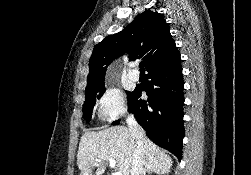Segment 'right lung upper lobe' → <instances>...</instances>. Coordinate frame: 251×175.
Instances as JSON below:
<instances>
[{
    "instance_id": "obj_1",
    "label": "right lung upper lobe",
    "mask_w": 251,
    "mask_h": 175,
    "mask_svg": "<svg viewBox=\"0 0 251 175\" xmlns=\"http://www.w3.org/2000/svg\"><path fill=\"white\" fill-rule=\"evenodd\" d=\"M124 52L130 54L131 61L142 58L147 70L180 56L163 14L146 10L124 30L107 36L94 47L86 88L105 86L107 67Z\"/></svg>"
}]
</instances>
